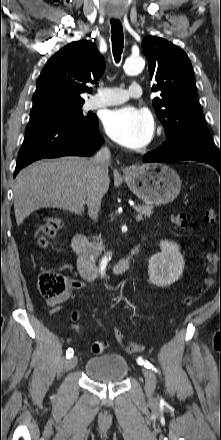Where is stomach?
Wrapping results in <instances>:
<instances>
[{"instance_id":"1","label":"stomach","mask_w":221,"mask_h":440,"mask_svg":"<svg viewBox=\"0 0 221 440\" xmlns=\"http://www.w3.org/2000/svg\"><path fill=\"white\" fill-rule=\"evenodd\" d=\"M130 190L149 205H164L173 201L181 189L175 170L162 163L133 166L125 172Z\"/></svg>"}]
</instances>
